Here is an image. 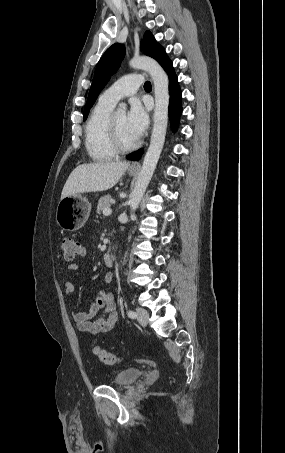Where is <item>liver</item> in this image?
<instances>
[{
	"label": "liver",
	"instance_id": "1",
	"mask_svg": "<svg viewBox=\"0 0 285 453\" xmlns=\"http://www.w3.org/2000/svg\"><path fill=\"white\" fill-rule=\"evenodd\" d=\"M129 162H97L77 166L69 175L61 199L86 192L105 191L117 184Z\"/></svg>",
	"mask_w": 285,
	"mask_h": 453
}]
</instances>
